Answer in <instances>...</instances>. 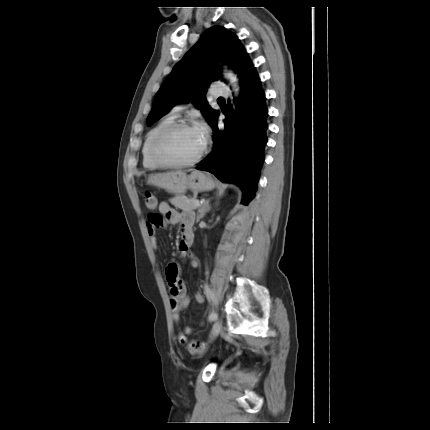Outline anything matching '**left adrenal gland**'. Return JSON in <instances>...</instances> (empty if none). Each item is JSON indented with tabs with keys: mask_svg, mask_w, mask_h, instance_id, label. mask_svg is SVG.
Instances as JSON below:
<instances>
[{
	"mask_svg": "<svg viewBox=\"0 0 430 430\" xmlns=\"http://www.w3.org/2000/svg\"><path fill=\"white\" fill-rule=\"evenodd\" d=\"M210 211L209 200H206L202 207L199 209V214L197 216V220H200L205 216L207 212Z\"/></svg>",
	"mask_w": 430,
	"mask_h": 430,
	"instance_id": "obj_1",
	"label": "left adrenal gland"
}]
</instances>
